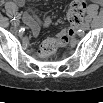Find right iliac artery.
I'll return each instance as SVG.
<instances>
[{
	"label": "right iliac artery",
	"instance_id": "82829eb1",
	"mask_svg": "<svg viewBox=\"0 0 103 103\" xmlns=\"http://www.w3.org/2000/svg\"><path fill=\"white\" fill-rule=\"evenodd\" d=\"M20 17H21V14H20V13L16 12V13L14 14V19H15V18H20Z\"/></svg>",
	"mask_w": 103,
	"mask_h": 103
}]
</instances>
